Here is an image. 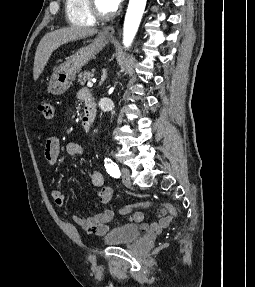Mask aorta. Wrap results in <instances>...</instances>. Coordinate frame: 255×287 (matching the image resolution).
Here are the masks:
<instances>
[{"mask_svg":"<svg viewBox=\"0 0 255 287\" xmlns=\"http://www.w3.org/2000/svg\"><path fill=\"white\" fill-rule=\"evenodd\" d=\"M147 0H130L123 28V44L129 47L137 33Z\"/></svg>","mask_w":255,"mask_h":287,"instance_id":"762f6f07","label":"aorta"}]
</instances>
